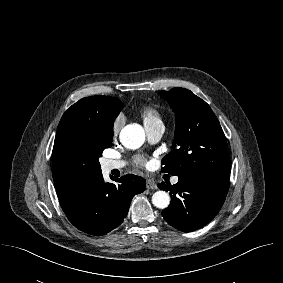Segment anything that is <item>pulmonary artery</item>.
<instances>
[{"mask_svg":"<svg viewBox=\"0 0 283 283\" xmlns=\"http://www.w3.org/2000/svg\"><path fill=\"white\" fill-rule=\"evenodd\" d=\"M147 138L150 143H156L160 140L164 132L163 124H154L145 126ZM125 166V162L118 160H105L102 164L103 170L106 172L122 169ZM178 177L172 179V183L176 184L178 182Z\"/></svg>","mask_w":283,"mask_h":283,"instance_id":"obj_1","label":"pulmonary artery"}]
</instances>
